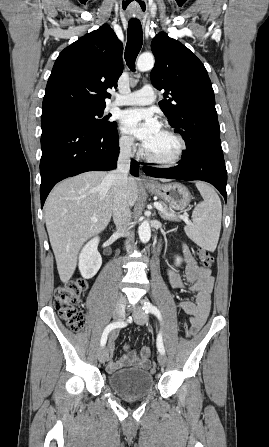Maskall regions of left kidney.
<instances>
[{
  "instance_id": "1",
  "label": "left kidney",
  "mask_w": 269,
  "mask_h": 447,
  "mask_svg": "<svg viewBox=\"0 0 269 447\" xmlns=\"http://www.w3.org/2000/svg\"><path fill=\"white\" fill-rule=\"evenodd\" d=\"M182 261L181 257H176V263H180Z\"/></svg>"
}]
</instances>
